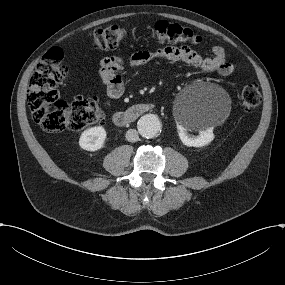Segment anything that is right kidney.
Listing matches in <instances>:
<instances>
[{
  "instance_id": "right-kidney-1",
  "label": "right kidney",
  "mask_w": 285,
  "mask_h": 285,
  "mask_svg": "<svg viewBox=\"0 0 285 285\" xmlns=\"http://www.w3.org/2000/svg\"><path fill=\"white\" fill-rule=\"evenodd\" d=\"M106 139V131L102 126L86 129L80 136L79 145L87 151L101 149Z\"/></svg>"
}]
</instances>
